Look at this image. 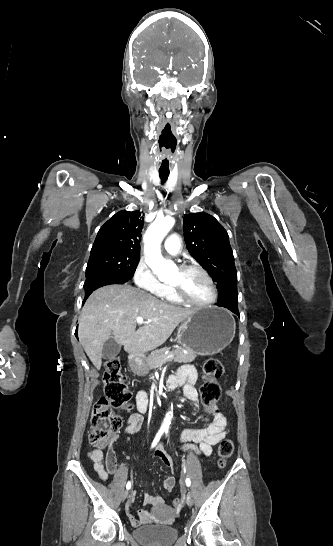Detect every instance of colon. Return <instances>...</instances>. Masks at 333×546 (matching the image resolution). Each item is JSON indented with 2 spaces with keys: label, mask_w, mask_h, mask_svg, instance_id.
I'll list each match as a JSON object with an SVG mask.
<instances>
[{
  "label": "colon",
  "mask_w": 333,
  "mask_h": 546,
  "mask_svg": "<svg viewBox=\"0 0 333 546\" xmlns=\"http://www.w3.org/2000/svg\"><path fill=\"white\" fill-rule=\"evenodd\" d=\"M225 369L219 359H208L203 365L204 382L200 387V396L206 410L212 415L214 403L220 398L221 387L218 379L224 375ZM131 391L121 373L120 360L117 357L108 359L105 363L104 396L95 404L92 413V426L89 435L90 443L95 447H104L117 435L121 428V420L117 410H125L131 406ZM234 451L231 439L221 440L218 448V465L224 467ZM182 499L173 500V506L180 508Z\"/></svg>",
  "instance_id": "obj_1"
}]
</instances>
